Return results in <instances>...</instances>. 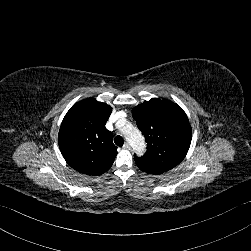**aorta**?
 I'll list each match as a JSON object with an SVG mask.
<instances>
[{"instance_id": "aorta-1", "label": "aorta", "mask_w": 251, "mask_h": 251, "mask_svg": "<svg viewBox=\"0 0 251 251\" xmlns=\"http://www.w3.org/2000/svg\"><path fill=\"white\" fill-rule=\"evenodd\" d=\"M125 138L128 143L131 145L133 150L138 156L143 155L146 147L144 136L142 135L141 131L133 127L129 131H125Z\"/></svg>"}]
</instances>
